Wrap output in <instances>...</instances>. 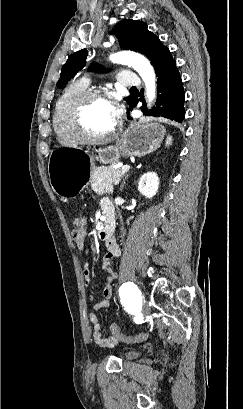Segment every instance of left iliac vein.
Wrapping results in <instances>:
<instances>
[{
	"label": "left iliac vein",
	"mask_w": 243,
	"mask_h": 409,
	"mask_svg": "<svg viewBox=\"0 0 243 409\" xmlns=\"http://www.w3.org/2000/svg\"><path fill=\"white\" fill-rule=\"evenodd\" d=\"M142 312H143V314H144L145 316H147V315L150 313V308H149V305H148V303H147L146 301H144V303H143V310H142Z\"/></svg>",
	"instance_id": "left-iliac-vein-1"
}]
</instances>
